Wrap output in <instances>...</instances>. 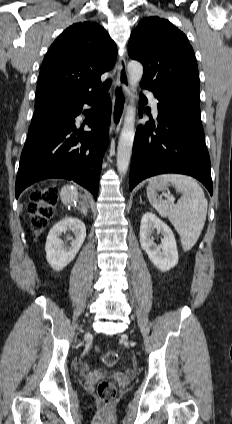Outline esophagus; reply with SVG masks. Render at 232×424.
<instances>
[{"label": "esophagus", "instance_id": "obj_1", "mask_svg": "<svg viewBox=\"0 0 232 424\" xmlns=\"http://www.w3.org/2000/svg\"><path fill=\"white\" fill-rule=\"evenodd\" d=\"M129 76L126 70V58L121 54L118 58V82L113 91V107L111 116L110 133H118L126 109Z\"/></svg>", "mask_w": 232, "mask_h": 424}]
</instances>
